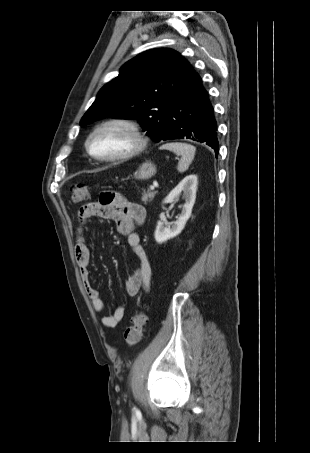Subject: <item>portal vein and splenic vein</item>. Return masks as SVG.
I'll return each instance as SVG.
<instances>
[{
    "label": "portal vein and splenic vein",
    "mask_w": 310,
    "mask_h": 453,
    "mask_svg": "<svg viewBox=\"0 0 310 453\" xmlns=\"http://www.w3.org/2000/svg\"><path fill=\"white\" fill-rule=\"evenodd\" d=\"M155 187H156V183L154 182L151 186H150V190H155Z\"/></svg>",
    "instance_id": "portal-vein-and-splenic-vein-1"
}]
</instances>
